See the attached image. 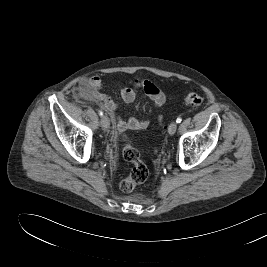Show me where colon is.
Wrapping results in <instances>:
<instances>
[{"instance_id": "1", "label": "colon", "mask_w": 267, "mask_h": 267, "mask_svg": "<svg viewBox=\"0 0 267 267\" xmlns=\"http://www.w3.org/2000/svg\"><path fill=\"white\" fill-rule=\"evenodd\" d=\"M203 101V97L196 92H191L184 97V103L192 107H199ZM158 118L161 120V115ZM123 140V158L133 166L129 173L121 180L120 188L124 192H130L147 179L148 169L141 160L138 150L129 143L127 135H124Z\"/></svg>"}]
</instances>
